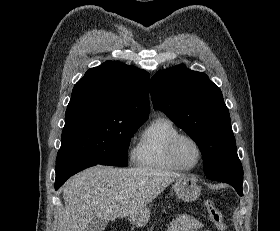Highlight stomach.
<instances>
[{
  "label": "stomach",
  "instance_id": "obj_1",
  "mask_svg": "<svg viewBox=\"0 0 280 231\" xmlns=\"http://www.w3.org/2000/svg\"><path fill=\"white\" fill-rule=\"evenodd\" d=\"M178 199L182 201H195L200 195V187L197 185V179L195 177H189V175H184V177H176L172 185ZM150 217V209L145 207L142 215L139 217H131L133 225L137 227H142L146 225Z\"/></svg>",
  "mask_w": 280,
  "mask_h": 231
}]
</instances>
